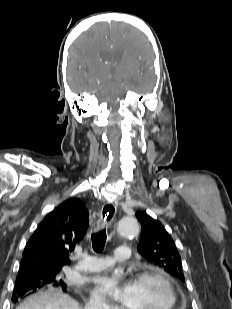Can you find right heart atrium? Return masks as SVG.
<instances>
[{
  "instance_id": "d8ad5b80",
  "label": "right heart atrium",
  "mask_w": 232,
  "mask_h": 309,
  "mask_svg": "<svg viewBox=\"0 0 232 309\" xmlns=\"http://www.w3.org/2000/svg\"><path fill=\"white\" fill-rule=\"evenodd\" d=\"M88 305L90 309H116L114 306L105 302L97 295H92Z\"/></svg>"
}]
</instances>
